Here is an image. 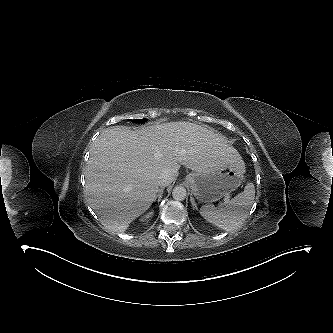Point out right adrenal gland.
I'll list each match as a JSON object with an SVG mask.
<instances>
[{
  "mask_svg": "<svg viewBox=\"0 0 333 333\" xmlns=\"http://www.w3.org/2000/svg\"><path fill=\"white\" fill-rule=\"evenodd\" d=\"M163 191H164V188L159 189L158 194L154 201H156V199L158 198V202H160L162 195H163Z\"/></svg>",
  "mask_w": 333,
  "mask_h": 333,
  "instance_id": "right-adrenal-gland-1",
  "label": "right adrenal gland"
}]
</instances>
